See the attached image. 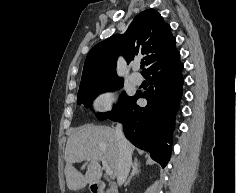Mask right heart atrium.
I'll use <instances>...</instances> for the list:
<instances>
[{"label": "right heart atrium", "instance_id": "obj_1", "mask_svg": "<svg viewBox=\"0 0 237 193\" xmlns=\"http://www.w3.org/2000/svg\"><path fill=\"white\" fill-rule=\"evenodd\" d=\"M115 94L111 90H104L94 99L93 105L98 112H109L112 110Z\"/></svg>", "mask_w": 237, "mask_h": 193}]
</instances>
